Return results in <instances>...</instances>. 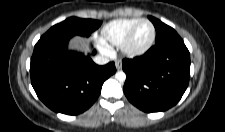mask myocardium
Segmentation results:
<instances>
[{"mask_svg":"<svg viewBox=\"0 0 225 132\" xmlns=\"http://www.w3.org/2000/svg\"><path fill=\"white\" fill-rule=\"evenodd\" d=\"M143 22L148 23L151 26V29H152L151 37L144 45L140 47H133L131 45L132 37L137 27ZM155 37H156V30L153 23L150 20L145 18L138 19L125 34L124 38L121 41L120 48L125 55L129 57H137V56L143 55L151 48V46L153 45L155 41Z\"/></svg>","mask_w":225,"mask_h":132,"instance_id":"f54148a6","label":"myocardium"}]
</instances>
